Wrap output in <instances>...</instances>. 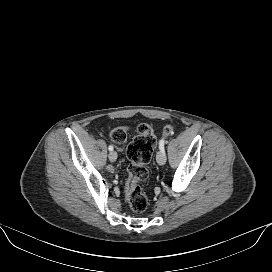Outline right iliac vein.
Segmentation results:
<instances>
[{
  "instance_id": "63e3f726",
  "label": "right iliac vein",
  "mask_w": 272,
  "mask_h": 272,
  "mask_svg": "<svg viewBox=\"0 0 272 272\" xmlns=\"http://www.w3.org/2000/svg\"><path fill=\"white\" fill-rule=\"evenodd\" d=\"M116 159H117V153H116L115 151H111V152L109 153V160H110L111 162H114V161H116Z\"/></svg>"
}]
</instances>
